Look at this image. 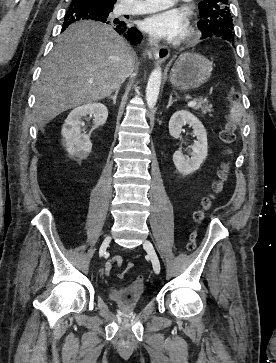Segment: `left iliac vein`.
I'll list each match as a JSON object with an SVG mask.
<instances>
[{"label": "left iliac vein", "instance_id": "1", "mask_svg": "<svg viewBox=\"0 0 276 363\" xmlns=\"http://www.w3.org/2000/svg\"><path fill=\"white\" fill-rule=\"evenodd\" d=\"M143 246H144V249L147 251L148 255L150 256L155 273L159 274L160 273V261H159V258L156 254V251H155L152 243L150 241L146 240L144 242Z\"/></svg>", "mask_w": 276, "mask_h": 363}]
</instances>
